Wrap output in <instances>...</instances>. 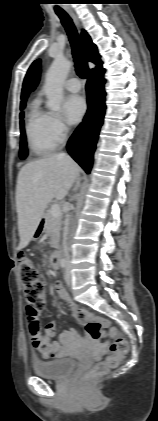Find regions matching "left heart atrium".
Listing matches in <instances>:
<instances>
[{
	"label": "left heart atrium",
	"instance_id": "left-heart-atrium-1",
	"mask_svg": "<svg viewBox=\"0 0 158 421\" xmlns=\"http://www.w3.org/2000/svg\"><path fill=\"white\" fill-rule=\"evenodd\" d=\"M63 109L67 121L71 124H77L85 115L87 106L81 96L70 95L64 100Z\"/></svg>",
	"mask_w": 158,
	"mask_h": 421
}]
</instances>
